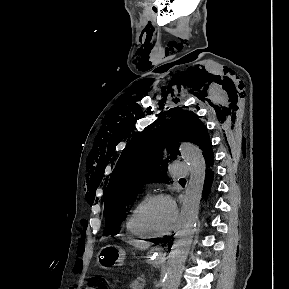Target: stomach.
Masks as SVG:
<instances>
[{
    "label": "stomach",
    "instance_id": "obj_1",
    "mask_svg": "<svg viewBox=\"0 0 289 289\" xmlns=\"http://www.w3.org/2000/svg\"><path fill=\"white\" fill-rule=\"evenodd\" d=\"M126 252L119 246L107 245L101 248L98 253V263L102 268L122 263L125 260Z\"/></svg>",
    "mask_w": 289,
    "mask_h": 289
}]
</instances>
